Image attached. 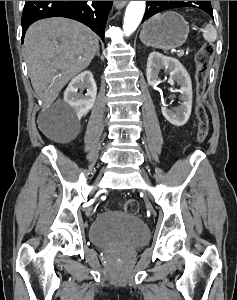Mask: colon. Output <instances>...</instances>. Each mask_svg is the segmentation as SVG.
Listing matches in <instances>:
<instances>
[{
  "instance_id": "obj_1",
  "label": "colon",
  "mask_w": 237,
  "mask_h": 300,
  "mask_svg": "<svg viewBox=\"0 0 237 300\" xmlns=\"http://www.w3.org/2000/svg\"><path fill=\"white\" fill-rule=\"evenodd\" d=\"M214 52V46L211 43H206L198 50L195 56V82L197 95L196 116L198 120V143H203L205 141L209 129L208 114L201 100L206 89V83L210 73ZM122 209L128 214L134 215L139 211V204L136 200L129 199L122 203Z\"/></svg>"
}]
</instances>
